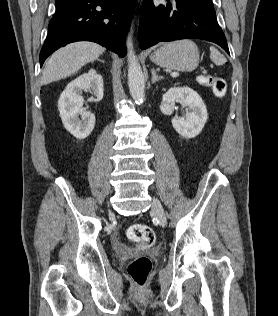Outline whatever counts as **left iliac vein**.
<instances>
[{
  "mask_svg": "<svg viewBox=\"0 0 278 316\" xmlns=\"http://www.w3.org/2000/svg\"><path fill=\"white\" fill-rule=\"evenodd\" d=\"M151 211L159 224L164 227L167 223L166 215L161 202L155 197L152 198Z\"/></svg>",
  "mask_w": 278,
  "mask_h": 316,
  "instance_id": "obj_1",
  "label": "left iliac vein"
}]
</instances>
